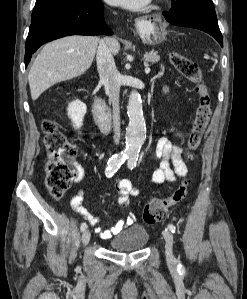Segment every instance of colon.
Segmentation results:
<instances>
[{"instance_id":"1","label":"colon","mask_w":247,"mask_h":299,"mask_svg":"<svg viewBox=\"0 0 247 299\" xmlns=\"http://www.w3.org/2000/svg\"><path fill=\"white\" fill-rule=\"evenodd\" d=\"M171 62L178 72L195 84L198 95V106L187 140L189 155L192 157L202 141L211 118V97L196 62L178 52L171 54ZM42 129L46 149L45 185L54 197H61L69 189L76 175L73 168L76 147L59 130L53 120H44ZM188 186L189 181L183 180L169 197L150 199L143 211L144 222L154 224L160 221L168 208L184 199Z\"/></svg>"}]
</instances>
